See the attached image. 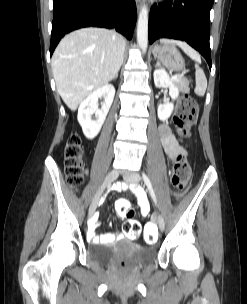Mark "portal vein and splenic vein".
Returning <instances> with one entry per match:
<instances>
[{
	"label": "portal vein and splenic vein",
	"instance_id": "portal-vein-and-splenic-vein-1",
	"mask_svg": "<svg viewBox=\"0 0 247 304\" xmlns=\"http://www.w3.org/2000/svg\"><path fill=\"white\" fill-rule=\"evenodd\" d=\"M182 77V74L174 75L172 77L173 80H179Z\"/></svg>",
	"mask_w": 247,
	"mask_h": 304
}]
</instances>
